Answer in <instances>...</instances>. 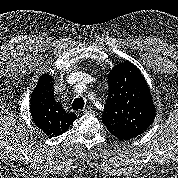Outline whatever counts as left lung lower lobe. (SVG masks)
<instances>
[{
    "mask_svg": "<svg viewBox=\"0 0 178 178\" xmlns=\"http://www.w3.org/2000/svg\"><path fill=\"white\" fill-rule=\"evenodd\" d=\"M105 126L107 127V129L109 130L111 134H113L114 136L122 140H128L130 138H134L142 134L141 132L130 130V129H125V128L115 126L112 124H105Z\"/></svg>",
    "mask_w": 178,
    "mask_h": 178,
    "instance_id": "left-lung-lower-lobe-1",
    "label": "left lung lower lobe"
}]
</instances>
